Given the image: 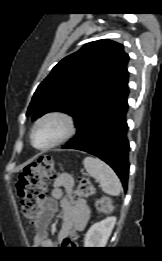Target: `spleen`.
Instances as JSON below:
<instances>
[{
	"label": "spleen",
	"instance_id": "1",
	"mask_svg": "<svg viewBox=\"0 0 162 261\" xmlns=\"http://www.w3.org/2000/svg\"><path fill=\"white\" fill-rule=\"evenodd\" d=\"M83 164L90 176L98 180L103 192L111 196L120 194L122 190L121 182L109 165L92 156H87L83 160Z\"/></svg>",
	"mask_w": 162,
	"mask_h": 261
}]
</instances>
